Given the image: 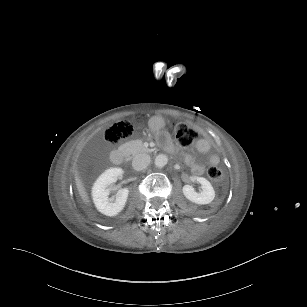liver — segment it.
<instances>
[{"label": "liver", "mask_w": 307, "mask_h": 307, "mask_svg": "<svg viewBox=\"0 0 307 307\" xmlns=\"http://www.w3.org/2000/svg\"><path fill=\"white\" fill-rule=\"evenodd\" d=\"M74 179H75V185H76L78 194L81 197L82 202L87 206H91L90 197L88 195V192L86 191V188H85L84 183H83V181H82V179L79 175L78 170H75Z\"/></svg>", "instance_id": "liver-1"}]
</instances>
